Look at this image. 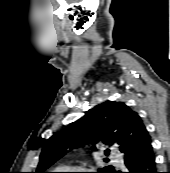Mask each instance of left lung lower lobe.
<instances>
[{
    "instance_id": "1",
    "label": "left lung lower lobe",
    "mask_w": 170,
    "mask_h": 173,
    "mask_svg": "<svg viewBox=\"0 0 170 173\" xmlns=\"http://www.w3.org/2000/svg\"><path fill=\"white\" fill-rule=\"evenodd\" d=\"M127 173H157L152 141L133 152L125 154ZM113 173H121L115 171Z\"/></svg>"
}]
</instances>
